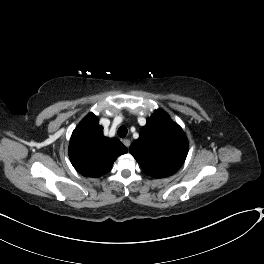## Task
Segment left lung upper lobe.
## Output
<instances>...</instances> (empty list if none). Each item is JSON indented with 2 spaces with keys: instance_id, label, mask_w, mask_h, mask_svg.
I'll use <instances>...</instances> for the list:
<instances>
[{
  "instance_id": "left-lung-upper-lobe-1",
  "label": "left lung upper lobe",
  "mask_w": 264,
  "mask_h": 264,
  "mask_svg": "<svg viewBox=\"0 0 264 264\" xmlns=\"http://www.w3.org/2000/svg\"><path fill=\"white\" fill-rule=\"evenodd\" d=\"M188 148V140L181 127L158 109L147 119L129 151L148 175L162 178L178 171L186 159Z\"/></svg>"
}]
</instances>
